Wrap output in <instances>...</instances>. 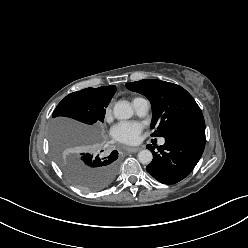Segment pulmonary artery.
Masks as SVG:
<instances>
[{"mask_svg":"<svg viewBox=\"0 0 248 248\" xmlns=\"http://www.w3.org/2000/svg\"><path fill=\"white\" fill-rule=\"evenodd\" d=\"M133 106L135 111L137 112V114L144 116L148 113L149 108H150V104L148 102V100L144 99V98H137L135 100H133ZM165 142L164 139H160L159 144L163 145Z\"/></svg>","mask_w":248,"mask_h":248,"instance_id":"1","label":"pulmonary artery"}]
</instances>
